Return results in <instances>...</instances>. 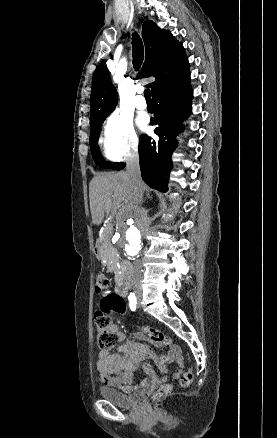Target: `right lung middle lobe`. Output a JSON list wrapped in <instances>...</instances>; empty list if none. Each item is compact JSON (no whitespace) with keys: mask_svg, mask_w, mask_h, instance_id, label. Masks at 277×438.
Wrapping results in <instances>:
<instances>
[{"mask_svg":"<svg viewBox=\"0 0 277 438\" xmlns=\"http://www.w3.org/2000/svg\"><path fill=\"white\" fill-rule=\"evenodd\" d=\"M102 123H103V121L90 123V126H91V133H90L91 153H92L94 160L98 161V164L100 165V167L115 169L116 167H118L120 165L119 163H107L104 161V159L100 155L97 141H98V138L100 135V130H101L100 128L102 126Z\"/></svg>","mask_w":277,"mask_h":438,"instance_id":"1","label":"right lung middle lobe"}]
</instances>
